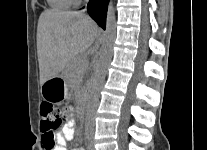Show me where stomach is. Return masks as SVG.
I'll list each match as a JSON object with an SVG mask.
<instances>
[{
    "instance_id": "0dacf381",
    "label": "stomach",
    "mask_w": 207,
    "mask_h": 150,
    "mask_svg": "<svg viewBox=\"0 0 207 150\" xmlns=\"http://www.w3.org/2000/svg\"><path fill=\"white\" fill-rule=\"evenodd\" d=\"M41 93L44 99L60 101L68 94V85L63 77H55L46 81L41 86Z\"/></svg>"
}]
</instances>
